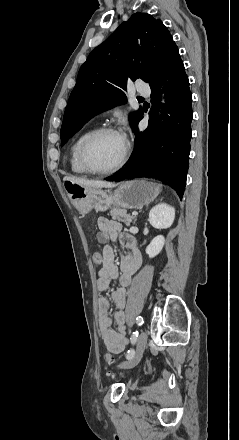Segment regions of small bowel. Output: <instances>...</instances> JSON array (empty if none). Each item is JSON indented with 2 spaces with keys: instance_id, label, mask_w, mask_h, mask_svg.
Instances as JSON below:
<instances>
[{
  "instance_id": "1",
  "label": "small bowel",
  "mask_w": 239,
  "mask_h": 440,
  "mask_svg": "<svg viewBox=\"0 0 239 440\" xmlns=\"http://www.w3.org/2000/svg\"><path fill=\"white\" fill-rule=\"evenodd\" d=\"M97 226L98 239L105 244L102 254V268L97 277V289L99 292L106 291L111 280H118L120 284L111 292V300L116 309L113 318L109 316V300L106 297L98 299L99 332L108 351L118 354L125 349L128 343L124 314L126 287L131 284L133 274L139 269L142 256L135 239L131 235L121 232L120 223L100 217ZM110 242L119 243L127 249V253L120 257L119 269L114 263V248ZM113 323L116 328H113Z\"/></svg>"
}]
</instances>
